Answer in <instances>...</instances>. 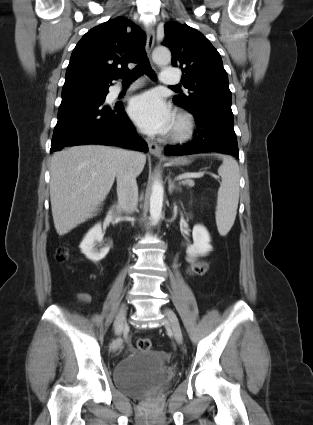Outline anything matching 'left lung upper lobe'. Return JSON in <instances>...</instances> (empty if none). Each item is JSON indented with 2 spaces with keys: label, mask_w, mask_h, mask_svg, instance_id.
<instances>
[{
  "label": "left lung upper lobe",
  "mask_w": 313,
  "mask_h": 425,
  "mask_svg": "<svg viewBox=\"0 0 313 425\" xmlns=\"http://www.w3.org/2000/svg\"><path fill=\"white\" fill-rule=\"evenodd\" d=\"M164 46L172 52L171 63L183 70L182 80L189 95H177L173 100L185 109L214 104L231 107L228 76L218 51L196 29L178 22L164 25Z\"/></svg>",
  "instance_id": "left-lung-upper-lobe-1"
}]
</instances>
